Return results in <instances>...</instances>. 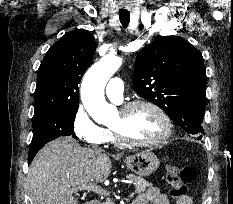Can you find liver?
Instances as JSON below:
<instances>
[{
	"label": "liver",
	"mask_w": 233,
	"mask_h": 204,
	"mask_svg": "<svg viewBox=\"0 0 233 204\" xmlns=\"http://www.w3.org/2000/svg\"><path fill=\"white\" fill-rule=\"evenodd\" d=\"M111 168L105 153L83 148L71 137H59L46 144L30 165L33 204H78L73 189L104 182Z\"/></svg>",
	"instance_id": "obj_1"
}]
</instances>
